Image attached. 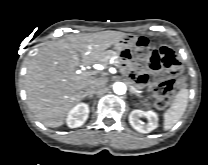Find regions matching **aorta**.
I'll use <instances>...</instances> for the list:
<instances>
[{"mask_svg":"<svg viewBox=\"0 0 208 165\" xmlns=\"http://www.w3.org/2000/svg\"><path fill=\"white\" fill-rule=\"evenodd\" d=\"M113 90L116 94L118 95H123L126 93L127 87L124 83L122 82H116L113 85Z\"/></svg>","mask_w":208,"mask_h":165,"instance_id":"obj_1","label":"aorta"}]
</instances>
